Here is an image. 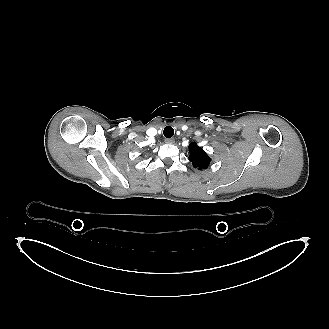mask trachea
<instances>
[{"instance_id":"3493384b","label":"trachea","mask_w":329,"mask_h":329,"mask_svg":"<svg viewBox=\"0 0 329 329\" xmlns=\"http://www.w3.org/2000/svg\"><path fill=\"white\" fill-rule=\"evenodd\" d=\"M163 134L166 138H171L174 135V129L171 126H166Z\"/></svg>"}]
</instances>
